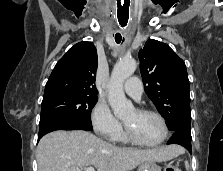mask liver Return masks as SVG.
I'll use <instances>...</instances> for the list:
<instances>
[{"mask_svg": "<svg viewBox=\"0 0 223 171\" xmlns=\"http://www.w3.org/2000/svg\"><path fill=\"white\" fill-rule=\"evenodd\" d=\"M179 148H121L83 130L55 131L45 135L37 146L38 171H77L88 166L97 171H130L146 161L171 160L179 154Z\"/></svg>", "mask_w": 223, "mask_h": 171, "instance_id": "obj_1", "label": "liver"}]
</instances>
